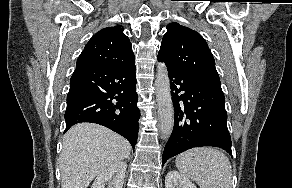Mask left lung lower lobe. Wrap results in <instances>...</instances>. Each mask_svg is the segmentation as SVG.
<instances>
[{
	"mask_svg": "<svg viewBox=\"0 0 292 188\" xmlns=\"http://www.w3.org/2000/svg\"><path fill=\"white\" fill-rule=\"evenodd\" d=\"M167 69L175 114L174 128L164 148L162 166L170 157L193 147L215 146L232 154L221 86Z\"/></svg>",
	"mask_w": 292,
	"mask_h": 188,
	"instance_id": "obj_1",
	"label": "left lung lower lobe"
}]
</instances>
